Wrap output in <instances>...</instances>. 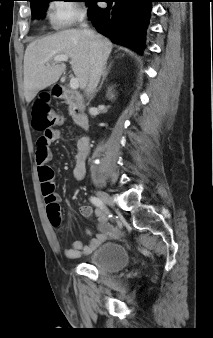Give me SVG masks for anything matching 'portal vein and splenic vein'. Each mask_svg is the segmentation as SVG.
<instances>
[{
    "mask_svg": "<svg viewBox=\"0 0 213 338\" xmlns=\"http://www.w3.org/2000/svg\"><path fill=\"white\" fill-rule=\"evenodd\" d=\"M54 61L56 63L58 62H62V61H68V56L67 55H57L54 57ZM49 65V64H47ZM79 87V82H78V79L77 78H74L72 77L71 80H70V88L73 89V90H76L78 89Z\"/></svg>",
    "mask_w": 213,
    "mask_h": 338,
    "instance_id": "18ae733b",
    "label": "portal vein and splenic vein"
}]
</instances>
